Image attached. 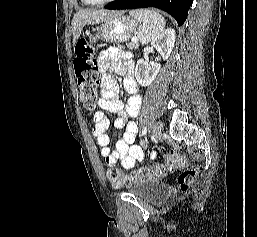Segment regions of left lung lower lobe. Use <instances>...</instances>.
I'll return each mask as SVG.
<instances>
[{"mask_svg": "<svg viewBox=\"0 0 257 237\" xmlns=\"http://www.w3.org/2000/svg\"><path fill=\"white\" fill-rule=\"evenodd\" d=\"M193 0H116L105 8L111 10L155 7L173 16L181 26L187 18Z\"/></svg>", "mask_w": 257, "mask_h": 237, "instance_id": "obj_1", "label": "left lung lower lobe"}]
</instances>
